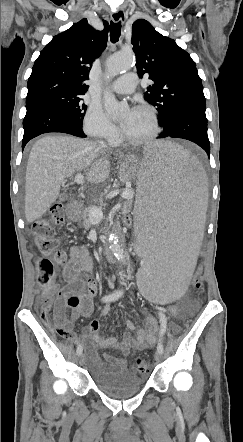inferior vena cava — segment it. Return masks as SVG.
I'll use <instances>...</instances> for the list:
<instances>
[{
	"instance_id": "obj_1",
	"label": "inferior vena cava",
	"mask_w": 243,
	"mask_h": 442,
	"mask_svg": "<svg viewBox=\"0 0 243 442\" xmlns=\"http://www.w3.org/2000/svg\"><path fill=\"white\" fill-rule=\"evenodd\" d=\"M98 143H99L101 149L107 148V145L105 144L104 141H98Z\"/></svg>"
}]
</instances>
